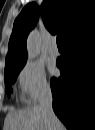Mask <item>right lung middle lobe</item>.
<instances>
[{
  "label": "right lung middle lobe",
  "mask_w": 95,
  "mask_h": 130,
  "mask_svg": "<svg viewBox=\"0 0 95 130\" xmlns=\"http://www.w3.org/2000/svg\"><path fill=\"white\" fill-rule=\"evenodd\" d=\"M22 68H23V66L5 70V73H4L5 86H6L7 94L9 96L12 92L11 85H12V83H14L16 81L17 75L19 74V72L21 71Z\"/></svg>",
  "instance_id": "dd1d6c3e"
}]
</instances>
